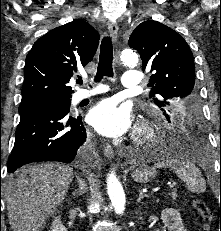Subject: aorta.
Instances as JSON below:
<instances>
[{"instance_id":"aorta-1","label":"aorta","mask_w":221,"mask_h":231,"mask_svg":"<svg viewBox=\"0 0 221 231\" xmlns=\"http://www.w3.org/2000/svg\"><path fill=\"white\" fill-rule=\"evenodd\" d=\"M120 61L126 66L133 67L138 63V55L133 49H124L121 52ZM107 191L116 214H123L126 203L125 194L121 183L113 172L107 178Z\"/></svg>"}]
</instances>
